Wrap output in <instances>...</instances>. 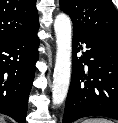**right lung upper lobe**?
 <instances>
[{"label":"right lung upper lobe","mask_w":118,"mask_h":123,"mask_svg":"<svg viewBox=\"0 0 118 123\" xmlns=\"http://www.w3.org/2000/svg\"><path fill=\"white\" fill-rule=\"evenodd\" d=\"M38 28L36 0H0V43L27 37Z\"/></svg>","instance_id":"cb5924a9"}]
</instances>
